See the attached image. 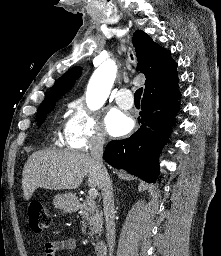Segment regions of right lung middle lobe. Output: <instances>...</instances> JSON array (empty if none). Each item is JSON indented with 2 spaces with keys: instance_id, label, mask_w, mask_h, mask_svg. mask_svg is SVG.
Returning a JSON list of instances; mask_svg holds the SVG:
<instances>
[{
  "instance_id": "1",
  "label": "right lung middle lobe",
  "mask_w": 221,
  "mask_h": 256,
  "mask_svg": "<svg viewBox=\"0 0 221 256\" xmlns=\"http://www.w3.org/2000/svg\"><path fill=\"white\" fill-rule=\"evenodd\" d=\"M58 99H59L58 96H53L42 102L36 115L38 126H41L43 124L47 114L53 110V108L56 105V101H58Z\"/></svg>"
}]
</instances>
